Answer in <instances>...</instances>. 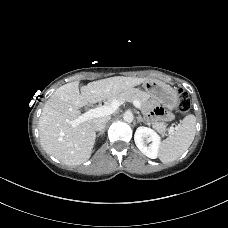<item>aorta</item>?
Masks as SVG:
<instances>
[{"label":"aorta","mask_w":228,"mask_h":228,"mask_svg":"<svg viewBox=\"0 0 228 228\" xmlns=\"http://www.w3.org/2000/svg\"><path fill=\"white\" fill-rule=\"evenodd\" d=\"M133 119H134L133 114L130 111H126L123 114V120L127 123H131Z\"/></svg>","instance_id":"obj_1"}]
</instances>
